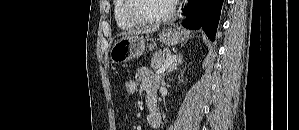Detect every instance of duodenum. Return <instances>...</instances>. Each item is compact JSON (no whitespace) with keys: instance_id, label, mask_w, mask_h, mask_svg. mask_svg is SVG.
I'll list each match as a JSON object with an SVG mask.
<instances>
[{"instance_id":"410a0bca","label":"duodenum","mask_w":299,"mask_h":130,"mask_svg":"<svg viewBox=\"0 0 299 130\" xmlns=\"http://www.w3.org/2000/svg\"><path fill=\"white\" fill-rule=\"evenodd\" d=\"M146 103L150 110V113L153 115L157 114V97L151 94L148 95Z\"/></svg>"}]
</instances>
